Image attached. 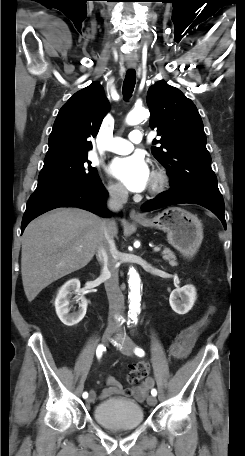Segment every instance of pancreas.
Instances as JSON below:
<instances>
[{
	"label": "pancreas",
	"instance_id": "1",
	"mask_svg": "<svg viewBox=\"0 0 245 456\" xmlns=\"http://www.w3.org/2000/svg\"><path fill=\"white\" fill-rule=\"evenodd\" d=\"M162 257L164 260L168 261L171 266H177L176 256L174 253L167 247H164L162 251Z\"/></svg>",
	"mask_w": 245,
	"mask_h": 456
}]
</instances>
